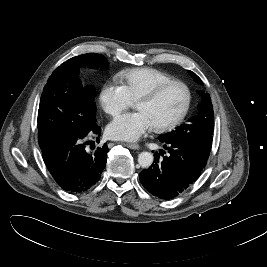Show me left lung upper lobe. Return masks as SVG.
<instances>
[{
    "mask_svg": "<svg viewBox=\"0 0 267 267\" xmlns=\"http://www.w3.org/2000/svg\"><path fill=\"white\" fill-rule=\"evenodd\" d=\"M193 79L199 84L202 80L193 72ZM202 100L198 106V113L188 123L179 126L175 131L168 132L159 137L164 142L187 143L197 148L204 156L208 157L212 145L214 129V112L210 95L204 91H198Z\"/></svg>",
    "mask_w": 267,
    "mask_h": 267,
    "instance_id": "obj_1",
    "label": "left lung upper lobe"
}]
</instances>
